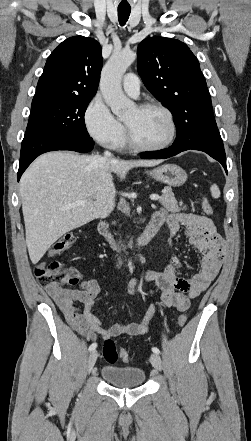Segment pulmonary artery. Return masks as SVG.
<instances>
[{"instance_id":"obj_1","label":"pulmonary artery","mask_w":251,"mask_h":441,"mask_svg":"<svg viewBox=\"0 0 251 441\" xmlns=\"http://www.w3.org/2000/svg\"><path fill=\"white\" fill-rule=\"evenodd\" d=\"M123 89L132 97H137L140 90V81L136 74L128 73L123 78Z\"/></svg>"}]
</instances>
